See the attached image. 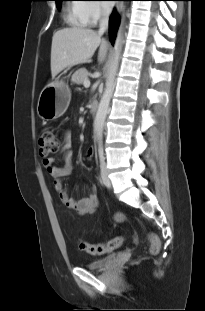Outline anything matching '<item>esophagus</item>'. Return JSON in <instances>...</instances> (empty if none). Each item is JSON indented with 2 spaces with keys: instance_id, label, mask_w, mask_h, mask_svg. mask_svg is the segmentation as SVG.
Segmentation results:
<instances>
[{
  "instance_id": "esophagus-1",
  "label": "esophagus",
  "mask_w": 205,
  "mask_h": 311,
  "mask_svg": "<svg viewBox=\"0 0 205 311\" xmlns=\"http://www.w3.org/2000/svg\"><path fill=\"white\" fill-rule=\"evenodd\" d=\"M122 10H123V5L122 4H117V6H116V11L118 12V13H120V12H122Z\"/></svg>"
}]
</instances>
